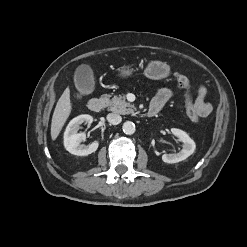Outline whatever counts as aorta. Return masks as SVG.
Segmentation results:
<instances>
[{
	"instance_id": "1",
	"label": "aorta",
	"mask_w": 247,
	"mask_h": 247,
	"mask_svg": "<svg viewBox=\"0 0 247 247\" xmlns=\"http://www.w3.org/2000/svg\"><path fill=\"white\" fill-rule=\"evenodd\" d=\"M123 132L127 135H132L135 133V124L131 121H126L124 124H123Z\"/></svg>"
}]
</instances>
